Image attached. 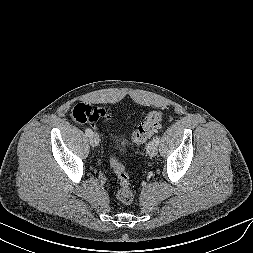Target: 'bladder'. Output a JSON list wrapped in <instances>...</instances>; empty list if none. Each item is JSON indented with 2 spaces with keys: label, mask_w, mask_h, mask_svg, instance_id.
<instances>
[{
  "label": "bladder",
  "mask_w": 253,
  "mask_h": 253,
  "mask_svg": "<svg viewBox=\"0 0 253 253\" xmlns=\"http://www.w3.org/2000/svg\"><path fill=\"white\" fill-rule=\"evenodd\" d=\"M117 143H118V145L121 144V140H120V139H117Z\"/></svg>",
  "instance_id": "bladder-1"
}]
</instances>
